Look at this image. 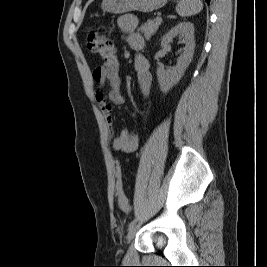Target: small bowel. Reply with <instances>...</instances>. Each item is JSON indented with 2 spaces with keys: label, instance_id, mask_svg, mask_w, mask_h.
I'll return each mask as SVG.
<instances>
[{
  "label": "small bowel",
  "instance_id": "small-bowel-1",
  "mask_svg": "<svg viewBox=\"0 0 267 267\" xmlns=\"http://www.w3.org/2000/svg\"><path fill=\"white\" fill-rule=\"evenodd\" d=\"M137 25L138 19L133 15L125 14L117 19L118 28L127 34L126 41L136 52L134 57V69L137 74L141 95L146 99L151 90L152 75L149 70L148 59L140 53L144 47V39L136 32ZM93 79L99 87L105 85L109 87L107 95L97 91L95 99L105 116L109 131L113 133L112 105H121L124 103V97L121 92L119 60L117 57H113L111 60L105 61L96 67L93 71ZM137 147L138 136L127 128L122 129L112 140V148L115 151L131 153L134 152Z\"/></svg>",
  "mask_w": 267,
  "mask_h": 267
}]
</instances>
